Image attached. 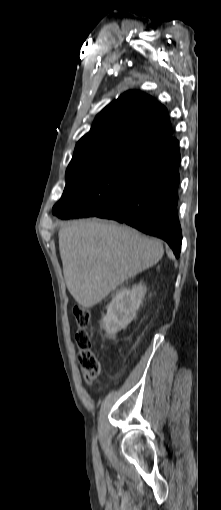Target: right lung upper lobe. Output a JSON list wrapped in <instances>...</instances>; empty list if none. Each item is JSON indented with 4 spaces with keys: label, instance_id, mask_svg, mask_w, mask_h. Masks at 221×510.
I'll return each mask as SVG.
<instances>
[{
    "label": "right lung upper lobe",
    "instance_id": "1",
    "mask_svg": "<svg viewBox=\"0 0 221 510\" xmlns=\"http://www.w3.org/2000/svg\"><path fill=\"white\" fill-rule=\"evenodd\" d=\"M174 140L167 109L142 92L128 91L96 116L72 160L125 147L152 152Z\"/></svg>",
    "mask_w": 221,
    "mask_h": 510
}]
</instances>
